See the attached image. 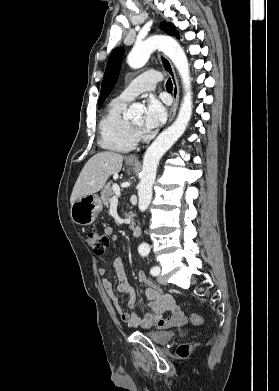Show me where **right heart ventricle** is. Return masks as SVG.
<instances>
[{
	"label": "right heart ventricle",
	"instance_id": "e07e8e85",
	"mask_svg": "<svg viewBox=\"0 0 279 391\" xmlns=\"http://www.w3.org/2000/svg\"><path fill=\"white\" fill-rule=\"evenodd\" d=\"M120 97L112 99L99 123L100 145L115 152H128L135 148L137 135L125 116L127 103Z\"/></svg>",
	"mask_w": 279,
	"mask_h": 391
}]
</instances>
